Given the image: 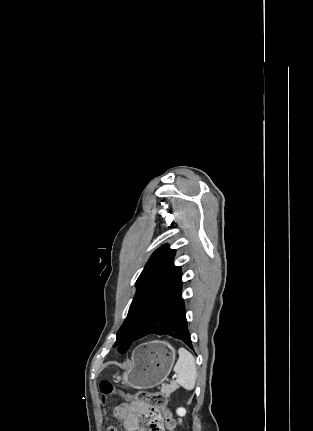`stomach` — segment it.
<instances>
[{
    "instance_id": "stomach-1",
    "label": "stomach",
    "mask_w": 313,
    "mask_h": 431,
    "mask_svg": "<svg viewBox=\"0 0 313 431\" xmlns=\"http://www.w3.org/2000/svg\"><path fill=\"white\" fill-rule=\"evenodd\" d=\"M175 361V350L166 342L140 344L133 353L132 364L118 379L135 389H149L168 377Z\"/></svg>"
}]
</instances>
